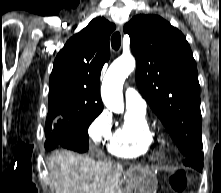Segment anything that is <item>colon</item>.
Wrapping results in <instances>:
<instances>
[{"label":"colon","instance_id":"5ec220e1","mask_svg":"<svg viewBox=\"0 0 221 193\" xmlns=\"http://www.w3.org/2000/svg\"><path fill=\"white\" fill-rule=\"evenodd\" d=\"M169 185L172 190L182 193L187 186V179L183 171L176 170L169 176Z\"/></svg>","mask_w":221,"mask_h":193}]
</instances>
